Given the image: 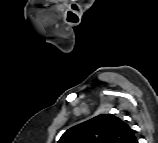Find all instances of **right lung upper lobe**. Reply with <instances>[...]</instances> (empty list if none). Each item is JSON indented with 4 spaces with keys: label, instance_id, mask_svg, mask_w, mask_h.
<instances>
[{
    "label": "right lung upper lobe",
    "instance_id": "obj_1",
    "mask_svg": "<svg viewBox=\"0 0 158 143\" xmlns=\"http://www.w3.org/2000/svg\"><path fill=\"white\" fill-rule=\"evenodd\" d=\"M133 130L113 114H100L68 129L59 143H136Z\"/></svg>",
    "mask_w": 158,
    "mask_h": 143
}]
</instances>
